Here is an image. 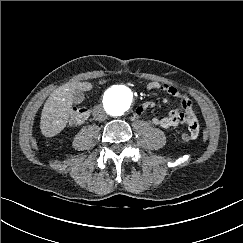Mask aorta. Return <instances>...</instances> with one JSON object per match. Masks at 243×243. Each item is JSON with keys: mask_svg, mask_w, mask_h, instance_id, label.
<instances>
[{"mask_svg": "<svg viewBox=\"0 0 243 243\" xmlns=\"http://www.w3.org/2000/svg\"><path fill=\"white\" fill-rule=\"evenodd\" d=\"M121 97L118 95L117 88H111L107 91V102L109 104H117Z\"/></svg>", "mask_w": 243, "mask_h": 243, "instance_id": "aorta-1", "label": "aorta"}]
</instances>
